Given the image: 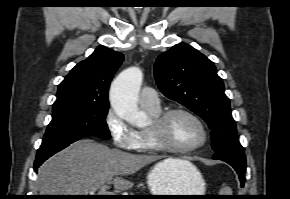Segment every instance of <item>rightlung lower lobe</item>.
<instances>
[{
  "label": "right lung lower lobe",
  "mask_w": 290,
  "mask_h": 199,
  "mask_svg": "<svg viewBox=\"0 0 290 199\" xmlns=\"http://www.w3.org/2000/svg\"><path fill=\"white\" fill-rule=\"evenodd\" d=\"M70 144H65L57 147L39 149L37 152L36 160L34 162V170L37 171L38 167L49 157L66 148Z\"/></svg>",
  "instance_id": "1"
}]
</instances>
